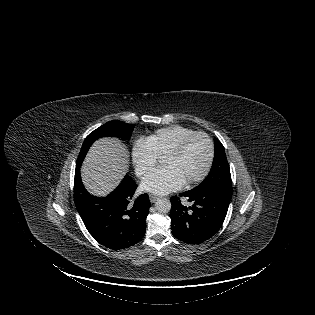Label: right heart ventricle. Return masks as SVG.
Returning a JSON list of instances; mask_svg holds the SVG:
<instances>
[{"label":"right heart ventricle","instance_id":"right-heart-ventricle-1","mask_svg":"<svg viewBox=\"0 0 315 315\" xmlns=\"http://www.w3.org/2000/svg\"><path fill=\"white\" fill-rule=\"evenodd\" d=\"M191 128L182 125H170L156 130L146 137V141L152 147L158 157L164 156L174 145L184 137L194 133Z\"/></svg>","mask_w":315,"mask_h":315}]
</instances>
